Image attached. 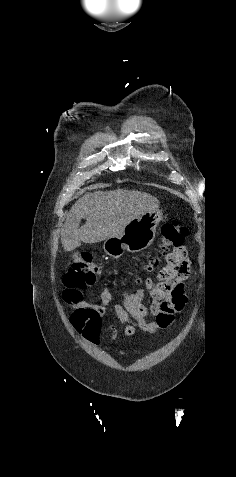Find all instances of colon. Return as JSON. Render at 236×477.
Segmentation results:
<instances>
[{
    "label": "colon",
    "instance_id": "1",
    "mask_svg": "<svg viewBox=\"0 0 236 477\" xmlns=\"http://www.w3.org/2000/svg\"><path fill=\"white\" fill-rule=\"evenodd\" d=\"M162 247L159 254L149 259L143 267L144 271H152L161 260L166 261V265L159 272V282L169 291L172 287L170 282L182 276L181 271L184 259L187 257V251L183 245L184 238L187 236V229L178 224L177 221L165 223L161 228ZM101 268L94 262V256L91 252H82L76 259L63 278V285L74 301L81 299L82 292L92 287Z\"/></svg>",
    "mask_w": 236,
    "mask_h": 477
}]
</instances>
